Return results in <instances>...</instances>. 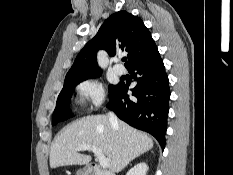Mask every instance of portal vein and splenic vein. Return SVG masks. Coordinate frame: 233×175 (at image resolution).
Here are the masks:
<instances>
[{
	"instance_id": "portal-vein-and-splenic-vein-1",
	"label": "portal vein and splenic vein",
	"mask_w": 233,
	"mask_h": 175,
	"mask_svg": "<svg viewBox=\"0 0 233 175\" xmlns=\"http://www.w3.org/2000/svg\"><path fill=\"white\" fill-rule=\"evenodd\" d=\"M78 151L91 150L99 160V164L103 169L109 167V159L104 156L101 150L95 146L83 144L77 148Z\"/></svg>"
}]
</instances>
